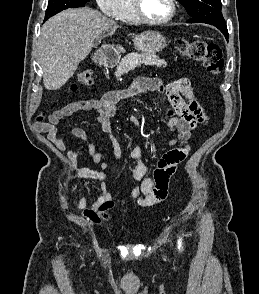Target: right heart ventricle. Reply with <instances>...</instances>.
<instances>
[{
  "mask_svg": "<svg viewBox=\"0 0 259 294\" xmlns=\"http://www.w3.org/2000/svg\"><path fill=\"white\" fill-rule=\"evenodd\" d=\"M118 19L122 22H125V23H137L138 22L135 17L130 0H123L122 11L120 12Z\"/></svg>",
  "mask_w": 259,
  "mask_h": 294,
  "instance_id": "e07e8e85",
  "label": "right heart ventricle"
}]
</instances>
